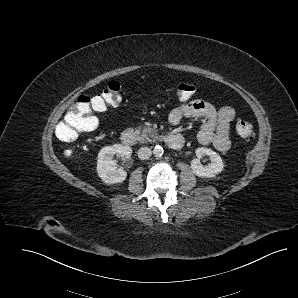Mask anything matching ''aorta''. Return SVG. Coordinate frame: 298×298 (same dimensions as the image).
<instances>
[{"label":"aorta","mask_w":298,"mask_h":298,"mask_svg":"<svg viewBox=\"0 0 298 298\" xmlns=\"http://www.w3.org/2000/svg\"><path fill=\"white\" fill-rule=\"evenodd\" d=\"M163 152H164V150H163V148L160 145H156L154 147V149H153V154L155 156H162L163 155Z\"/></svg>","instance_id":"obj_1"}]
</instances>
